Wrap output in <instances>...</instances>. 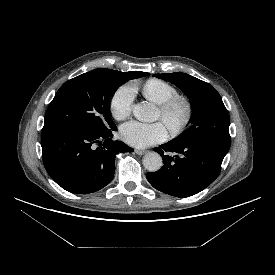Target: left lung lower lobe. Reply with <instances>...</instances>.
I'll return each instance as SVG.
<instances>
[{
	"mask_svg": "<svg viewBox=\"0 0 275 275\" xmlns=\"http://www.w3.org/2000/svg\"><path fill=\"white\" fill-rule=\"evenodd\" d=\"M163 158L157 172L147 173L149 183L157 190L176 197H189L205 189L220 174L228 150L204 143L170 141L154 148ZM165 152L174 153L173 156Z\"/></svg>",
	"mask_w": 275,
	"mask_h": 275,
	"instance_id": "obj_1",
	"label": "left lung lower lobe"
}]
</instances>
